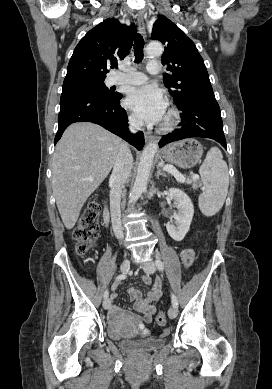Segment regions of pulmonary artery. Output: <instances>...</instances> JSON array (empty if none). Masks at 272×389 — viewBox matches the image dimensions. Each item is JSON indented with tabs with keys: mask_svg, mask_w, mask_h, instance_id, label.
<instances>
[{
	"mask_svg": "<svg viewBox=\"0 0 272 389\" xmlns=\"http://www.w3.org/2000/svg\"><path fill=\"white\" fill-rule=\"evenodd\" d=\"M160 71V63L157 61H151L147 65V72L149 74H157ZM148 80L147 76L139 71H128L124 73H118L112 78V83L115 85L119 84H130V85H141L146 83Z\"/></svg>",
	"mask_w": 272,
	"mask_h": 389,
	"instance_id": "e3ab8cb5",
	"label": "pulmonary artery"
}]
</instances>
